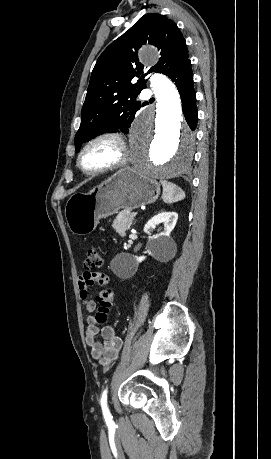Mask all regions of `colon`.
I'll list each match as a JSON object with an SVG mask.
<instances>
[{
	"label": "colon",
	"instance_id": "obj_1",
	"mask_svg": "<svg viewBox=\"0 0 271 459\" xmlns=\"http://www.w3.org/2000/svg\"><path fill=\"white\" fill-rule=\"evenodd\" d=\"M103 258L101 253L96 248H90L87 251L86 258L83 262V266L87 271H93L102 266ZM114 299V294L110 289L100 291L96 296V301L98 304L97 313L95 315V320L98 324H102L107 319V313L112 305Z\"/></svg>",
	"mask_w": 271,
	"mask_h": 459
}]
</instances>
